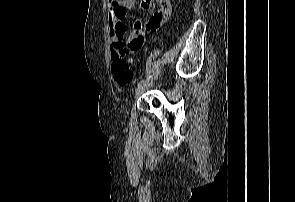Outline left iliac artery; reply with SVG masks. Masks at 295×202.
<instances>
[{
    "label": "left iliac artery",
    "mask_w": 295,
    "mask_h": 202,
    "mask_svg": "<svg viewBox=\"0 0 295 202\" xmlns=\"http://www.w3.org/2000/svg\"><path fill=\"white\" fill-rule=\"evenodd\" d=\"M158 73H159V70H156L152 75H150L146 79H143L142 81H140L138 83V86H140L141 84H143V83H145V82H147L149 80H152L154 77H156L158 75Z\"/></svg>",
    "instance_id": "44dca946"
}]
</instances>
